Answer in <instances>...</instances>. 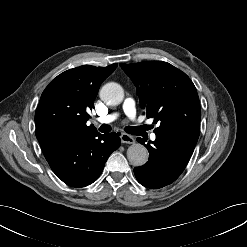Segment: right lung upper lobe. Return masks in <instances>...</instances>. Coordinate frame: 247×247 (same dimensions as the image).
Returning a JSON list of instances; mask_svg holds the SVG:
<instances>
[{
  "instance_id": "cb5924a9",
  "label": "right lung upper lobe",
  "mask_w": 247,
  "mask_h": 247,
  "mask_svg": "<svg viewBox=\"0 0 247 247\" xmlns=\"http://www.w3.org/2000/svg\"><path fill=\"white\" fill-rule=\"evenodd\" d=\"M83 65L67 70L43 91L35 113L36 137L43 153H47L62 135H91L98 133L93 125L87 126L88 112L101 83L116 69Z\"/></svg>"
}]
</instances>
